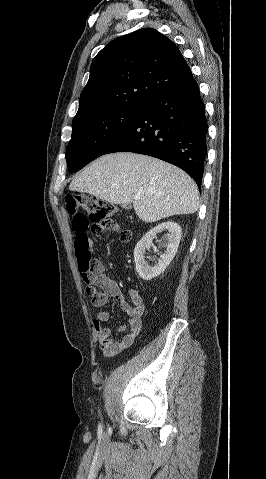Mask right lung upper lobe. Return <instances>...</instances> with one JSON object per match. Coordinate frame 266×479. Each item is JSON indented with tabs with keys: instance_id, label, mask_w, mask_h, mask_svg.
I'll list each match as a JSON object with an SVG mask.
<instances>
[{
	"instance_id": "cb5924a9",
	"label": "right lung upper lobe",
	"mask_w": 266,
	"mask_h": 479,
	"mask_svg": "<svg viewBox=\"0 0 266 479\" xmlns=\"http://www.w3.org/2000/svg\"><path fill=\"white\" fill-rule=\"evenodd\" d=\"M193 77L177 46L153 28L116 38L94 58L73 120L120 108H144Z\"/></svg>"
}]
</instances>
